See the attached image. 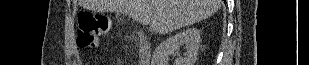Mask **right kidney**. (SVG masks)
Here are the masks:
<instances>
[{"mask_svg":"<svg viewBox=\"0 0 309 65\" xmlns=\"http://www.w3.org/2000/svg\"><path fill=\"white\" fill-rule=\"evenodd\" d=\"M200 35L201 33L198 29L187 28L167 38L157 46L151 64L165 65L168 62L169 55L178 51L182 45H185L186 52L184 57L176 58L175 65H194L197 60Z\"/></svg>","mask_w":309,"mask_h":65,"instance_id":"1","label":"right kidney"}]
</instances>
